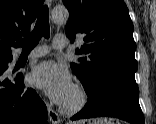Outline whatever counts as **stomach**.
Here are the masks:
<instances>
[{
  "mask_svg": "<svg viewBox=\"0 0 156 124\" xmlns=\"http://www.w3.org/2000/svg\"><path fill=\"white\" fill-rule=\"evenodd\" d=\"M94 124H100L99 121L95 122Z\"/></svg>",
  "mask_w": 156,
  "mask_h": 124,
  "instance_id": "stomach-1",
  "label": "stomach"
}]
</instances>
